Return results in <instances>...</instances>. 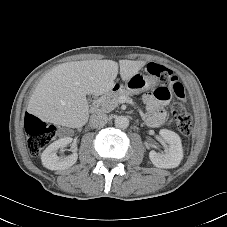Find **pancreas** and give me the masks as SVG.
I'll use <instances>...</instances> for the list:
<instances>
[{"label": "pancreas", "mask_w": 227, "mask_h": 227, "mask_svg": "<svg viewBox=\"0 0 227 227\" xmlns=\"http://www.w3.org/2000/svg\"><path fill=\"white\" fill-rule=\"evenodd\" d=\"M131 92L125 89H120L115 92H109L101 97L99 100V111L101 112H111L117 108L120 104L119 99L121 97L129 98Z\"/></svg>", "instance_id": "cf45deb5"}]
</instances>
